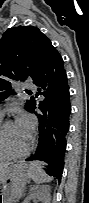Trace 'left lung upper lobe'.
<instances>
[{
  "label": "left lung upper lobe",
  "instance_id": "1",
  "mask_svg": "<svg viewBox=\"0 0 89 203\" xmlns=\"http://www.w3.org/2000/svg\"><path fill=\"white\" fill-rule=\"evenodd\" d=\"M50 40L33 26L8 29L0 39V100L7 98L15 81L30 77L34 80L41 69ZM34 98L27 100L25 108L30 112Z\"/></svg>",
  "mask_w": 89,
  "mask_h": 203
}]
</instances>
